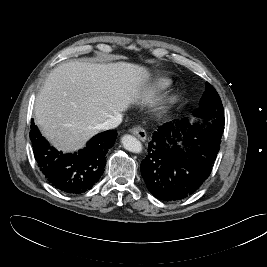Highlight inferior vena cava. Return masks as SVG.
<instances>
[{
	"instance_id": "obj_1",
	"label": "inferior vena cava",
	"mask_w": 267,
	"mask_h": 267,
	"mask_svg": "<svg viewBox=\"0 0 267 267\" xmlns=\"http://www.w3.org/2000/svg\"><path fill=\"white\" fill-rule=\"evenodd\" d=\"M122 121V116L116 115L108 118L105 122L99 124V129L101 130H110L116 128Z\"/></svg>"
}]
</instances>
